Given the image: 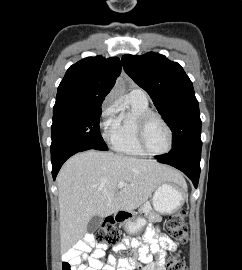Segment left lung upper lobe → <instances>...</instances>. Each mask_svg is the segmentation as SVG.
<instances>
[{
  "instance_id": "left-lung-upper-lobe-1",
  "label": "left lung upper lobe",
  "mask_w": 242,
  "mask_h": 270,
  "mask_svg": "<svg viewBox=\"0 0 242 270\" xmlns=\"http://www.w3.org/2000/svg\"><path fill=\"white\" fill-rule=\"evenodd\" d=\"M125 72L152 98L172 131L174 156L202 147L199 104L191 80L181 65L153 52L124 55Z\"/></svg>"
}]
</instances>
